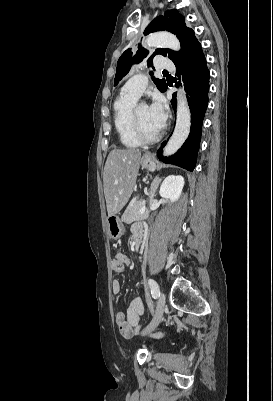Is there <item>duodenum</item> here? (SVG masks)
Listing matches in <instances>:
<instances>
[{
	"instance_id": "410a0bca",
	"label": "duodenum",
	"mask_w": 273,
	"mask_h": 401,
	"mask_svg": "<svg viewBox=\"0 0 273 401\" xmlns=\"http://www.w3.org/2000/svg\"><path fill=\"white\" fill-rule=\"evenodd\" d=\"M141 243H142V236H141V235L136 236V237L134 238V247H135V248H139V246L141 245Z\"/></svg>"
}]
</instances>
